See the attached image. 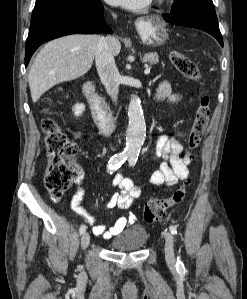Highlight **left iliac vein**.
Returning a JSON list of instances; mask_svg holds the SVG:
<instances>
[{"mask_svg":"<svg viewBox=\"0 0 247 299\" xmlns=\"http://www.w3.org/2000/svg\"><path fill=\"white\" fill-rule=\"evenodd\" d=\"M165 237V258L169 264H174V238L170 232L164 234Z\"/></svg>","mask_w":247,"mask_h":299,"instance_id":"4c4485c4","label":"left iliac vein"}]
</instances>
